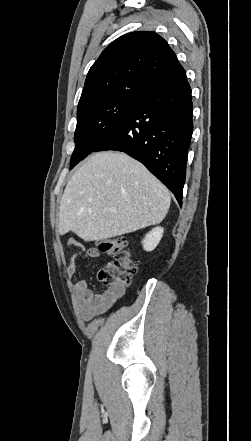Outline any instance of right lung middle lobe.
<instances>
[{
	"instance_id": "right-lung-middle-lobe-1",
	"label": "right lung middle lobe",
	"mask_w": 251,
	"mask_h": 441,
	"mask_svg": "<svg viewBox=\"0 0 251 441\" xmlns=\"http://www.w3.org/2000/svg\"><path fill=\"white\" fill-rule=\"evenodd\" d=\"M142 95L105 98L77 111L71 169L103 142L139 103Z\"/></svg>"
}]
</instances>
